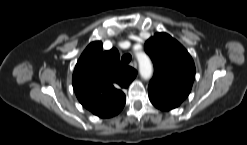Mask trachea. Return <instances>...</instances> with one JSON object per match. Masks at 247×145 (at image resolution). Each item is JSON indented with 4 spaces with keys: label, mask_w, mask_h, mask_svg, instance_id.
<instances>
[{
    "label": "trachea",
    "mask_w": 247,
    "mask_h": 145,
    "mask_svg": "<svg viewBox=\"0 0 247 145\" xmlns=\"http://www.w3.org/2000/svg\"><path fill=\"white\" fill-rule=\"evenodd\" d=\"M131 59H132V57L130 54H125L122 56L121 61L123 64H128V63H130Z\"/></svg>",
    "instance_id": "1"
}]
</instances>
